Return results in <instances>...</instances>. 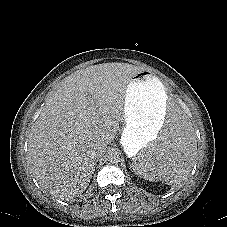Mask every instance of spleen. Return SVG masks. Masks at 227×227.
<instances>
[{
    "label": "spleen",
    "instance_id": "spleen-1",
    "mask_svg": "<svg viewBox=\"0 0 227 227\" xmlns=\"http://www.w3.org/2000/svg\"><path fill=\"white\" fill-rule=\"evenodd\" d=\"M197 143L191 122L179 108L166 114L163 140L142 148L129 160L130 169L144 179L169 185L185 181L196 163Z\"/></svg>",
    "mask_w": 227,
    "mask_h": 227
}]
</instances>
